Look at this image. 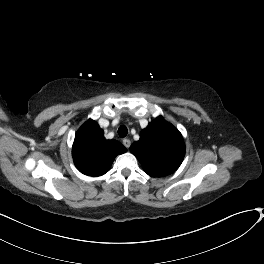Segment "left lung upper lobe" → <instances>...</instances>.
I'll list each match as a JSON object with an SVG mask.
<instances>
[{
    "instance_id": "left-lung-upper-lobe-1",
    "label": "left lung upper lobe",
    "mask_w": 264,
    "mask_h": 264,
    "mask_svg": "<svg viewBox=\"0 0 264 264\" xmlns=\"http://www.w3.org/2000/svg\"><path fill=\"white\" fill-rule=\"evenodd\" d=\"M130 151L148 175L162 177L179 168L185 156V144L181 133L159 116L142 130Z\"/></svg>"
}]
</instances>
